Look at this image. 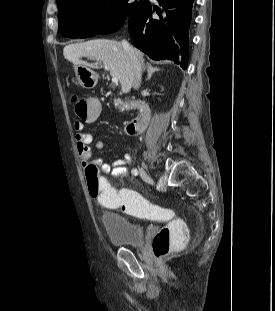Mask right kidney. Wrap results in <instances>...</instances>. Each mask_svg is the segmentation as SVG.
Segmentation results:
<instances>
[{"label": "right kidney", "instance_id": "1", "mask_svg": "<svg viewBox=\"0 0 275 311\" xmlns=\"http://www.w3.org/2000/svg\"><path fill=\"white\" fill-rule=\"evenodd\" d=\"M155 95H156L157 97H160V96L162 95V92H161L160 90H157V91L155 92Z\"/></svg>", "mask_w": 275, "mask_h": 311}]
</instances>
